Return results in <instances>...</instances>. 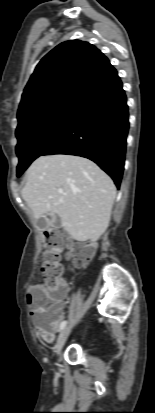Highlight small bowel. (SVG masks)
Instances as JSON below:
<instances>
[{
	"mask_svg": "<svg viewBox=\"0 0 155 413\" xmlns=\"http://www.w3.org/2000/svg\"><path fill=\"white\" fill-rule=\"evenodd\" d=\"M45 293L47 294V290H45L42 285L34 284L29 289V294L27 297V302L31 307V314L34 318V328L37 334L47 343L51 344L55 340L56 333L58 328H60V324L64 318V302L58 301L54 304L55 310L53 313H49L48 319L44 325L40 322V315L35 310V298L37 294Z\"/></svg>",
	"mask_w": 155,
	"mask_h": 413,
	"instance_id": "obj_1",
	"label": "small bowel"
}]
</instances>
